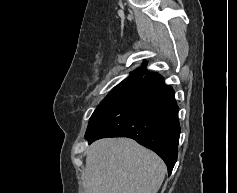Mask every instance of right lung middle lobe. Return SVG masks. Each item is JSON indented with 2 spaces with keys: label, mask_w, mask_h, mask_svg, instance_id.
Here are the masks:
<instances>
[{
  "label": "right lung middle lobe",
  "mask_w": 237,
  "mask_h": 193,
  "mask_svg": "<svg viewBox=\"0 0 237 193\" xmlns=\"http://www.w3.org/2000/svg\"><path fill=\"white\" fill-rule=\"evenodd\" d=\"M145 71H136L131 76L123 80L103 99L92 115L104 111L130 95V93L140 86Z\"/></svg>",
  "instance_id": "right-lung-middle-lobe-1"
}]
</instances>
